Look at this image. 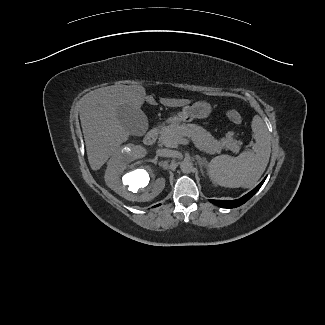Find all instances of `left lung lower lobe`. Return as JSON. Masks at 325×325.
I'll return each mask as SVG.
<instances>
[{"label": "left lung lower lobe", "mask_w": 325, "mask_h": 325, "mask_svg": "<svg viewBox=\"0 0 325 325\" xmlns=\"http://www.w3.org/2000/svg\"><path fill=\"white\" fill-rule=\"evenodd\" d=\"M266 177L263 179V181L255 187L252 191H250L248 194L244 195L243 197L236 199V200H210L213 204L223 207V208H235L242 204H244L247 200H249L262 186L264 183Z\"/></svg>", "instance_id": "1"}]
</instances>
